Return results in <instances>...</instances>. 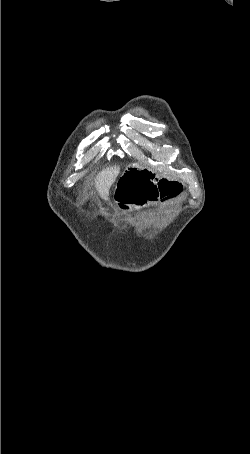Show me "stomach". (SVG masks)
<instances>
[{"instance_id": "0dacf381", "label": "stomach", "mask_w": 250, "mask_h": 454, "mask_svg": "<svg viewBox=\"0 0 250 454\" xmlns=\"http://www.w3.org/2000/svg\"><path fill=\"white\" fill-rule=\"evenodd\" d=\"M121 176H156V175L154 174V172L147 170L138 164H131L125 169L124 173Z\"/></svg>"}]
</instances>
